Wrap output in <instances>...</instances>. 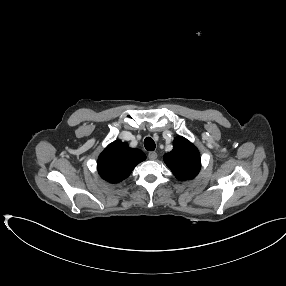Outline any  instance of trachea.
Returning a JSON list of instances; mask_svg holds the SVG:
<instances>
[{"label": "trachea", "mask_w": 286, "mask_h": 286, "mask_svg": "<svg viewBox=\"0 0 286 286\" xmlns=\"http://www.w3.org/2000/svg\"><path fill=\"white\" fill-rule=\"evenodd\" d=\"M144 146H145L146 150H148V151H154L155 150V142L150 137L145 138Z\"/></svg>", "instance_id": "3493384b"}]
</instances>
